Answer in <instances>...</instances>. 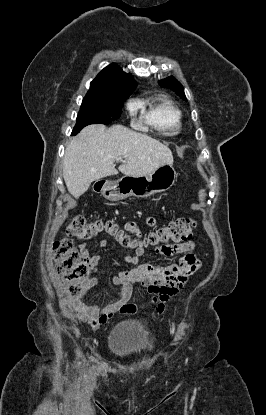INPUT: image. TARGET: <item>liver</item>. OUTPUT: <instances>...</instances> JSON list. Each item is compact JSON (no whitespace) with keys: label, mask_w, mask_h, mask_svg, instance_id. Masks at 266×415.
Here are the masks:
<instances>
[{"label":"liver","mask_w":266,"mask_h":415,"mask_svg":"<svg viewBox=\"0 0 266 415\" xmlns=\"http://www.w3.org/2000/svg\"><path fill=\"white\" fill-rule=\"evenodd\" d=\"M125 159L119 171L127 176L149 175L164 164H173L171 150L158 140L123 125L85 127L66 147L63 178L69 193L77 198L93 181L116 175L114 162Z\"/></svg>","instance_id":"1"}]
</instances>
